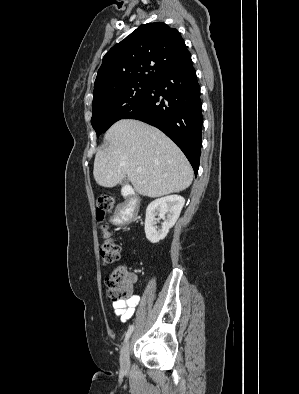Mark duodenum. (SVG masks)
Instances as JSON below:
<instances>
[{"instance_id":"410a0bca","label":"duodenum","mask_w":299,"mask_h":394,"mask_svg":"<svg viewBox=\"0 0 299 394\" xmlns=\"http://www.w3.org/2000/svg\"><path fill=\"white\" fill-rule=\"evenodd\" d=\"M125 202L120 209V218L122 221H132L138 212L140 203L137 196L130 190L124 191Z\"/></svg>"}]
</instances>
